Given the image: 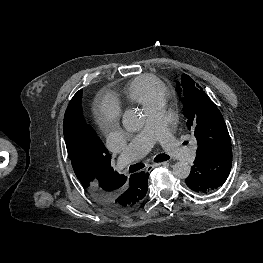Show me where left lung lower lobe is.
I'll list each match as a JSON object with an SVG mask.
<instances>
[{
	"mask_svg": "<svg viewBox=\"0 0 263 263\" xmlns=\"http://www.w3.org/2000/svg\"><path fill=\"white\" fill-rule=\"evenodd\" d=\"M232 166L231 148H221L209 154L197 155L187 186L200 194L216 191L227 180Z\"/></svg>",
	"mask_w": 263,
	"mask_h": 263,
	"instance_id": "0a47b994",
	"label": "left lung lower lobe"
}]
</instances>
